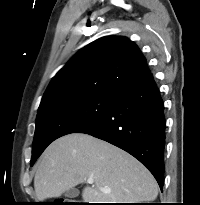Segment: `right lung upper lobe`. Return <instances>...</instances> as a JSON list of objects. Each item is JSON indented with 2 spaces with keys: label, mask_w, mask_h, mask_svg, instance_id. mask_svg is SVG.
Wrapping results in <instances>:
<instances>
[{
  "label": "right lung upper lobe",
  "mask_w": 200,
  "mask_h": 205,
  "mask_svg": "<svg viewBox=\"0 0 200 205\" xmlns=\"http://www.w3.org/2000/svg\"><path fill=\"white\" fill-rule=\"evenodd\" d=\"M149 73L136 44L122 36L102 37L76 53L55 75L38 111L71 97L115 98Z\"/></svg>",
  "instance_id": "cb5924a9"
}]
</instances>
